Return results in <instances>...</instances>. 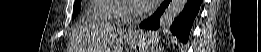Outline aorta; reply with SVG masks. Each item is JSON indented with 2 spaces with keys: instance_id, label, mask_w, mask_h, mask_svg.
<instances>
[{
  "instance_id": "1",
  "label": "aorta",
  "mask_w": 261,
  "mask_h": 52,
  "mask_svg": "<svg viewBox=\"0 0 261 52\" xmlns=\"http://www.w3.org/2000/svg\"><path fill=\"white\" fill-rule=\"evenodd\" d=\"M187 0H171L160 19L162 27L170 26L183 11Z\"/></svg>"
}]
</instances>
